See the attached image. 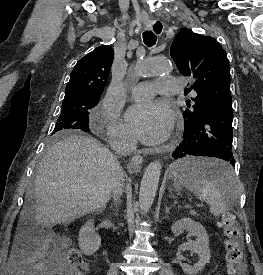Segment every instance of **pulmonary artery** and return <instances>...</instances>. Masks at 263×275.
I'll list each match as a JSON object with an SVG mask.
<instances>
[{
  "instance_id": "pulmonary-artery-1",
  "label": "pulmonary artery",
  "mask_w": 263,
  "mask_h": 275,
  "mask_svg": "<svg viewBox=\"0 0 263 275\" xmlns=\"http://www.w3.org/2000/svg\"><path fill=\"white\" fill-rule=\"evenodd\" d=\"M181 83L178 78L166 76L156 82L143 81L134 86L131 95L135 100H148L156 94L172 96L178 94Z\"/></svg>"
}]
</instances>
